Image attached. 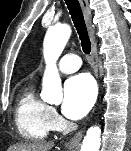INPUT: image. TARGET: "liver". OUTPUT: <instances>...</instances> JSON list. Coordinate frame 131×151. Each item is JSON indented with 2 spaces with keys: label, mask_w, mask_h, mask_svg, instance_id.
Segmentation results:
<instances>
[{
  "label": "liver",
  "mask_w": 131,
  "mask_h": 151,
  "mask_svg": "<svg viewBox=\"0 0 131 151\" xmlns=\"http://www.w3.org/2000/svg\"><path fill=\"white\" fill-rule=\"evenodd\" d=\"M54 146L52 142H33L10 147L9 151H49Z\"/></svg>",
  "instance_id": "liver-1"
}]
</instances>
